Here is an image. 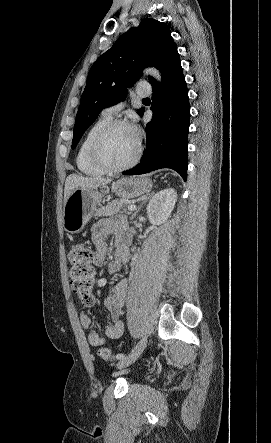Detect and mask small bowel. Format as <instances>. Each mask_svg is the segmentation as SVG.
I'll return each mask as SVG.
<instances>
[{
  "label": "small bowel",
  "mask_w": 271,
  "mask_h": 443,
  "mask_svg": "<svg viewBox=\"0 0 271 443\" xmlns=\"http://www.w3.org/2000/svg\"><path fill=\"white\" fill-rule=\"evenodd\" d=\"M111 236L116 238L117 249L110 270L116 272L127 262L128 250L124 242L123 232L108 219L99 220L92 229V241L96 247L94 263L97 266L103 264L107 253V240ZM127 289V280L120 279L113 291L105 297L103 303L110 315L111 324L103 328L102 334L92 329V321L84 311L80 313V323L83 329L87 331V338L91 345L99 346L103 344L105 338L116 340L122 336L124 324L121 320V313Z\"/></svg>",
  "instance_id": "c3829d8e"
}]
</instances>
